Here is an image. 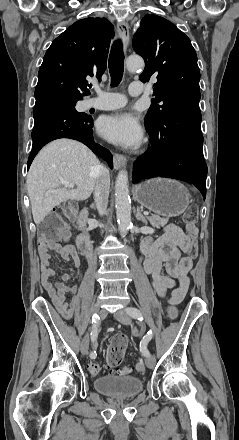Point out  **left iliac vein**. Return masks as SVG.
Instances as JSON below:
<instances>
[{
    "instance_id": "left-iliac-vein-1",
    "label": "left iliac vein",
    "mask_w": 239,
    "mask_h": 440,
    "mask_svg": "<svg viewBox=\"0 0 239 440\" xmlns=\"http://www.w3.org/2000/svg\"><path fill=\"white\" fill-rule=\"evenodd\" d=\"M115 318L121 322L124 325H129L131 323V318L130 316L125 313V311L123 310H118L115 314H114ZM156 363V359L154 356L149 355L146 358V365L148 368H154Z\"/></svg>"
}]
</instances>
